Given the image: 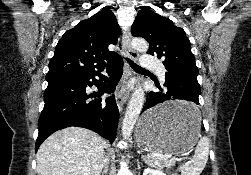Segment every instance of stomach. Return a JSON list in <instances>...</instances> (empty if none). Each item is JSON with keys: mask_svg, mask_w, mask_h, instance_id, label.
Listing matches in <instances>:
<instances>
[{"mask_svg": "<svg viewBox=\"0 0 251 175\" xmlns=\"http://www.w3.org/2000/svg\"><path fill=\"white\" fill-rule=\"evenodd\" d=\"M192 100H164L141 115L135 135L138 145L150 154L178 155L191 149L201 131L200 114Z\"/></svg>", "mask_w": 251, "mask_h": 175, "instance_id": "obj_1", "label": "stomach"}]
</instances>
